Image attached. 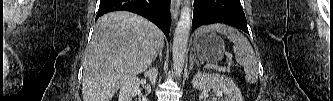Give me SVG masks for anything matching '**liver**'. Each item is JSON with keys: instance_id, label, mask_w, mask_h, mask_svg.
<instances>
[{"instance_id": "1", "label": "liver", "mask_w": 333, "mask_h": 101, "mask_svg": "<svg viewBox=\"0 0 333 101\" xmlns=\"http://www.w3.org/2000/svg\"><path fill=\"white\" fill-rule=\"evenodd\" d=\"M163 46L162 31L139 15L116 11L99 18L83 63V101H110Z\"/></svg>"}]
</instances>
